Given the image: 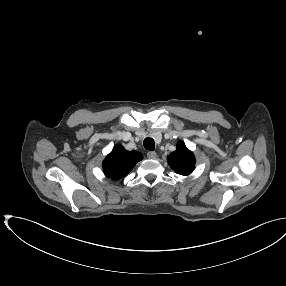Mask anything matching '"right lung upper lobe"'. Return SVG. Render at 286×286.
<instances>
[{
  "label": "right lung upper lobe",
  "instance_id": "1",
  "mask_svg": "<svg viewBox=\"0 0 286 286\" xmlns=\"http://www.w3.org/2000/svg\"><path fill=\"white\" fill-rule=\"evenodd\" d=\"M143 156L138 151H127L123 146H116L103 161V171L106 177L118 180L126 176Z\"/></svg>",
  "mask_w": 286,
  "mask_h": 286
}]
</instances>
